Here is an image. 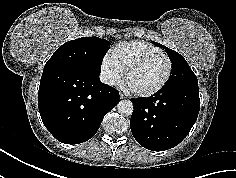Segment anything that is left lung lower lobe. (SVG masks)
Masks as SVG:
<instances>
[{"label": "left lung lower lobe", "instance_id": "obj_1", "mask_svg": "<svg viewBox=\"0 0 236 178\" xmlns=\"http://www.w3.org/2000/svg\"><path fill=\"white\" fill-rule=\"evenodd\" d=\"M130 127L146 149L164 151L178 145L194 125L199 109L198 85L164 86L149 98L131 99Z\"/></svg>", "mask_w": 236, "mask_h": 178}]
</instances>
